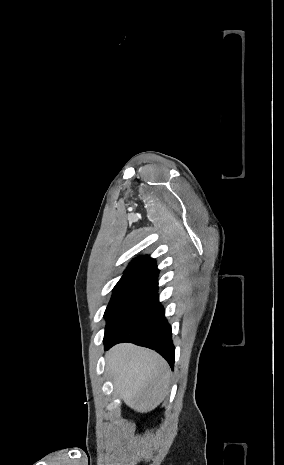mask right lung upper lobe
Returning a JSON list of instances; mask_svg holds the SVG:
<instances>
[{
  "label": "right lung upper lobe",
  "mask_w": 284,
  "mask_h": 465,
  "mask_svg": "<svg viewBox=\"0 0 284 465\" xmlns=\"http://www.w3.org/2000/svg\"><path fill=\"white\" fill-rule=\"evenodd\" d=\"M158 274L155 260L146 255L134 259L124 271L122 278L157 282Z\"/></svg>",
  "instance_id": "cb5924a9"
}]
</instances>
